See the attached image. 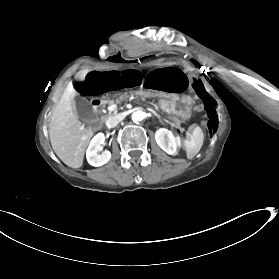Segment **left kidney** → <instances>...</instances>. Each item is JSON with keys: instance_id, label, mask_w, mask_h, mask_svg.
Wrapping results in <instances>:
<instances>
[{"instance_id": "left-kidney-1", "label": "left kidney", "mask_w": 279, "mask_h": 279, "mask_svg": "<svg viewBox=\"0 0 279 279\" xmlns=\"http://www.w3.org/2000/svg\"><path fill=\"white\" fill-rule=\"evenodd\" d=\"M155 140L159 147L169 155L177 154V147L180 139L175 137L172 132L166 128H160L155 133Z\"/></svg>"}]
</instances>
